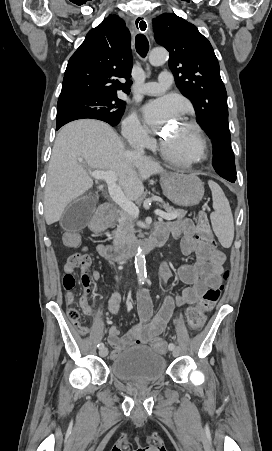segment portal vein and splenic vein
<instances>
[{
    "instance_id": "1",
    "label": "portal vein and splenic vein",
    "mask_w": 272,
    "mask_h": 451,
    "mask_svg": "<svg viewBox=\"0 0 272 451\" xmlns=\"http://www.w3.org/2000/svg\"><path fill=\"white\" fill-rule=\"evenodd\" d=\"M82 160V158H80ZM90 176L94 178V180H105L106 184H108L109 194L113 200L116 202L124 212H127L129 216H133V218H138L139 216V208L128 200L126 196H124L121 188L117 186L116 182L118 180V176L116 172L113 170H107V172H103V170H94L91 172ZM156 216H160V218H164V220H175L177 218L176 214H166V212H162V210H155Z\"/></svg>"
}]
</instances>
